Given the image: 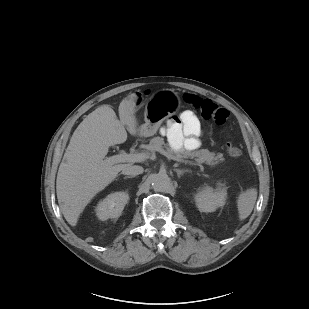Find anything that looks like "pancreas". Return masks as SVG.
Masks as SVG:
<instances>
[{
    "label": "pancreas",
    "instance_id": "1",
    "mask_svg": "<svg viewBox=\"0 0 309 309\" xmlns=\"http://www.w3.org/2000/svg\"><path fill=\"white\" fill-rule=\"evenodd\" d=\"M164 147L167 149L169 158L179 162H187L185 159L195 158L199 163L204 162L208 165L215 166L225 161L222 153L216 154L215 152H210L208 149H200L196 151L181 150L175 152L165 144L164 139L161 137H154L151 139L150 143L145 146V149L148 152H159L160 150H164Z\"/></svg>",
    "mask_w": 309,
    "mask_h": 309
}]
</instances>
